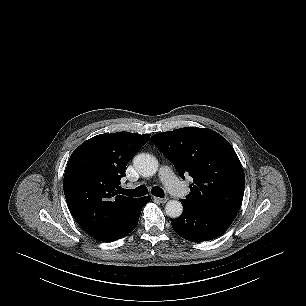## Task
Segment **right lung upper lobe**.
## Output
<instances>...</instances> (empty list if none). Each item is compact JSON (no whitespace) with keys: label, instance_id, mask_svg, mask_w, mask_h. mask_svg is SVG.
Masks as SVG:
<instances>
[{"label":"right lung upper lobe","instance_id":"obj_1","mask_svg":"<svg viewBox=\"0 0 306 306\" xmlns=\"http://www.w3.org/2000/svg\"><path fill=\"white\" fill-rule=\"evenodd\" d=\"M150 138L130 132L100 134L72 153L64 175V194L77 223L95 239L113 231L136 198L119 195L128 161Z\"/></svg>","mask_w":306,"mask_h":306}]
</instances>
